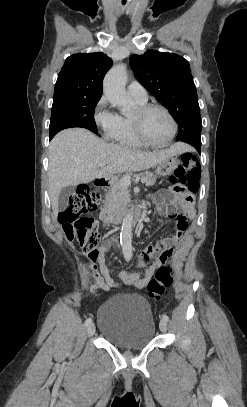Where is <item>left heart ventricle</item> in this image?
Masks as SVG:
<instances>
[{
    "label": "left heart ventricle",
    "instance_id": "obj_1",
    "mask_svg": "<svg viewBox=\"0 0 247 407\" xmlns=\"http://www.w3.org/2000/svg\"><path fill=\"white\" fill-rule=\"evenodd\" d=\"M143 133L153 144H162L172 133V124L167 115L161 110H151L143 118Z\"/></svg>",
    "mask_w": 247,
    "mask_h": 407
}]
</instances>
